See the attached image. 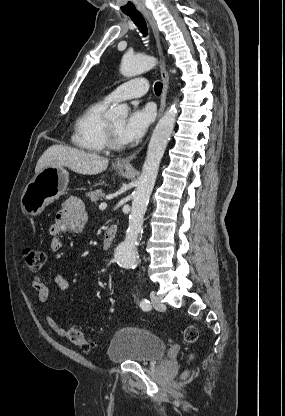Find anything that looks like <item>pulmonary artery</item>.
Returning <instances> with one entry per match:
<instances>
[{
	"mask_svg": "<svg viewBox=\"0 0 285 416\" xmlns=\"http://www.w3.org/2000/svg\"><path fill=\"white\" fill-rule=\"evenodd\" d=\"M147 88V80L144 77H137L121 84L118 88L110 92L106 95L105 101L110 102L120 98L131 100L132 97L146 96L148 93Z\"/></svg>",
	"mask_w": 285,
	"mask_h": 416,
	"instance_id": "e3ab8cb5",
	"label": "pulmonary artery"
}]
</instances>
